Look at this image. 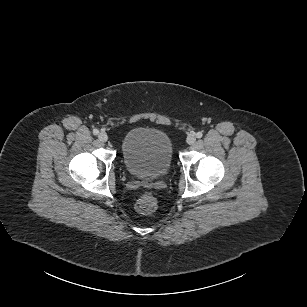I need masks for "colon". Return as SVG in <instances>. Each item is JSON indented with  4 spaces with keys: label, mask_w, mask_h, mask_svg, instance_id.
Instances as JSON below:
<instances>
[{
    "label": "colon",
    "mask_w": 307,
    "mask_h": 307,
    "mask_svg": "<svg viewBox=\"0 0 307 307\" xmlns=\"http://www.w3.org/2000/svg\"><path fill=\"white\" fill-rule=\"evenodd\" d=\"M157 206V198L149 192L140 194L135 202V210L141 214L151 213L156 210Z\"/></svg>",
    "instance_id": "1"
}]
</instances>
